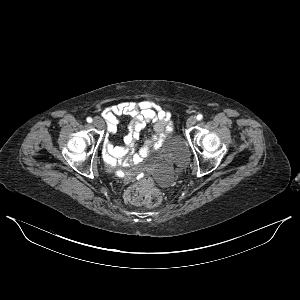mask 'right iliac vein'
<instances>
[{"label":"right iliac vein","instance_id":"63e3f726","mask_svg":"<svg viewBox=\"0 0 300 300\" xmlns=\"http://www.w3.org/2000/svg\"><path fill=\"white\" fill-rule=\"evenodd\" d=\"M93 124L97 128H102V126H103V120L100 117H95L94 120H93Z\"/></svg>","mask_w":300,"mask_h":300}]
</instances>
